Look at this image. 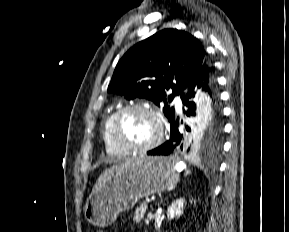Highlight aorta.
Instances as JSON below:
<instances>
[{
    "instance_id": "aorta-1",
    "label": "aorta",
    "mask_w": 289,
    "mask_h": 232,
    "mask_svg": "<svg viewBox=\"0 0 289 232\" xmlns=\"http://www.w3.org/2000/svg\"><path fill=\"white\" fill-rule=\"evenodd\" d=\"M209 107V101L208 99H205L204 100V103H203V110L206 111Z\"/></svg>"
}]
</instances>
